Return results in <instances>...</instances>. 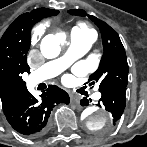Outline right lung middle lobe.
<instances>
[{"instance_id":"dd1d6c3e","label":"right lung middle lobe","mask_w":147,"mask_h":147,"mask_svg":"<svg viewBox=\"0 0 147 147\" xmlns=\"http://www.w3.org/2000/svg\"><path fill=\"white\" fill-rule=\"evenodd\" d=\"M31 26L30 27H28L27 29H26V32L28 33V34H30V30H31Z\"/></svg>"}]
</instances>
